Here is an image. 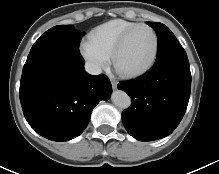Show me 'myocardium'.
<instances>
[{"mask_svg":"<svg viewBox=\"0 0 219 174\" xmlns=\"http://www.w3.org/2000/svg\"><path fill=\"white\" fill-rule=\"evenodd\" d=\"M140 28H146L148 30L151 31L153 38H154V51H153V55L150 59V61L142 68L138 69V70H134V71H123L121 69L118 68V58L120 56V54L122 53L125 45L127 44L129 38L131 37V35L138 29ZM158 51H159V38L158 35L155 31V29L153 27H151L148 24H138L135 27L129 29L119 40V42L117 43L116 47L113 50L112 53V61H113V65L114 68L116 69V71L124 78H135V77H139L143 74H145L146 72H148L155 64L157 57H158Z\"/></svg>","mask_w":219,"mask_h":174,"instance_id":"obj_1","label":"myocardium"}]
</instances>
